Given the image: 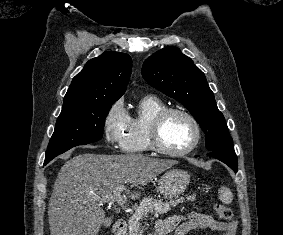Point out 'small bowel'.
<instances>
[{"instance_id": "small-bowel-1", "label": "small bowel", "mask_w": 283, "mask_h": 235, "mask_svg": "<svg viewBox=\"0 0 283 235\" xmlns=\"http://www.w3.org/2000/svg\"><path fill=\"white\" fill-rule=\"evenodd\" d=\"M159 235H188L195 230H211L222 232V235H235L236 223L223 222L204 213H190L187 216H172L157 223Z\"/></svg>"}]
</instances>
